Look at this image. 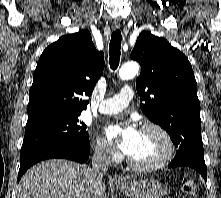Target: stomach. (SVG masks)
Instances as JSON below:
<instances>
[{
  "mask_svg": "<svg viewBox=\"0 0 221 198\" xmlns=\"http://www.w3.org/2000/svg\"><path fill=\"white\" fill-rule=\"evenodd\" d=\"M116 187L130 198H162L165 189L154 179L129 178L125 183H116Z\"/></svg>",
  "mask_w": 221,
  "mask_h": 198,
  "instance_id": "stomach-1",
  "label": "stomach"
}]
</instances>
